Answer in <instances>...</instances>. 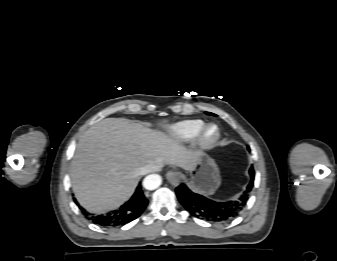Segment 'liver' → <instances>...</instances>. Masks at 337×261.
Segmentation results:
<instances>
[{
  "instance_id": "liver-1",
  "label": "liver",
  "mask_w": 337,
  "mask_h": 261,
  "mask_svg": "<svg viewBox=\"0 0 337 261\" xmlns=\"http://www.w3.org/2000/svg\"><path fill=\"white\" fill-rule=\"evenodd\" d=\"M198 151L177 139L122 118H106L80 138L71 162L72 189L89 212L119 207L134 192L142 167L175 165L192 170Z\"/></svg>"
}]
</instances>
